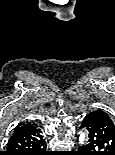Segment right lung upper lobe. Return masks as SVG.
Masks as SVG:
<instances>
[{
  "instance_id": "1",
  "label": "right lung upper lobe",
  "mask_w": 115,
  "mask_h": 155,
  "mask_svg": "<svg viewBox=\"0 0 115 155\" xmlns=\"http://www.w3.org/2000/svg\"><path fill=\"white\" fill-rule=\"evenodd\" d=\"M35 127H37V125L34 122H28L27 121V122L20 123L16 126L13 135L18 134V133H22L25 131H29Z\"/></svg>"
}]
</instances>
